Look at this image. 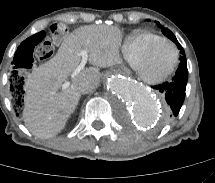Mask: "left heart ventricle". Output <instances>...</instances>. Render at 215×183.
<instances>
[{"label": "left heart ventricle", "instance_id": "left-heart-ventricle-1", "mask_svg": "<svg viewBox=\"0 0 215 183\" xmlns=\"http://www.w3.org/2000/svg\"><path fill=\"white\" fill-rule=\"evenodd\" d=\"M173 58L172 46L168 43H160L146 57L143 69L149 76H158L171 66Z\"/></svg>", "mask_w": 215, "mask_h": 183}]
</instances>
